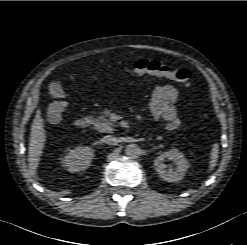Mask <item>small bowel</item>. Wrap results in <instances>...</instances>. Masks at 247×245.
<instances>
[{
    "instance_id": "small-bowel-1",
    "label": "small bowel",
    "mask_w": 247,
    "mask_h": 245,
    "mask_svg": "<svg viewBox=\"0 0 247 245\" xmlns=\"http://www.w3.org/2000/svg\"><path fill=\"white\" fill-rule=\"evenodd\" d=\"M179 97L176 87L170 84L158 85L152 93L149 112L154 119L169 121L178 116L175 103Z\"/></svg>"
}]
</instances>
